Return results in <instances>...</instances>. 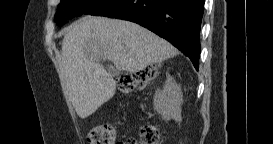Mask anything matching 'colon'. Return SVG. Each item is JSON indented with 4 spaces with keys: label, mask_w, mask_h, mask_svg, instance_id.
Listing matches in <instances>:
<instances>
[{
    "label": "colon",
    "mask_w": 273,
    "mask_h": 144,
    "mask_svg": "<svg viewBox=\"0 0 273 144\" xmlns=\"http://www.w3.org/2000/svg\"><path fill=\"white\" fill-rule=\"evenodd\" d=\"M156 75L153 67H146L131 74L118 78V88L122 93L128 94L150 83ZM143 143L155 144L160 141V133L153 125H146L141 129ZM116 140L115 129L110 125H98L89 132L90 144H114Z\"/></svg>",
    "instance_id": "obj_1"
}]
</instances>
